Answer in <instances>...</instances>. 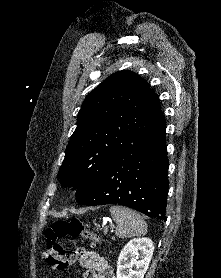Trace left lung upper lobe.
<instances>
[{
	"mask_svg": "<svg viewBox=\"0 0 221 278\" xmlns=\"http://www.w3.org/2000/svg\"><path fill=\"white\" fill-rule=\"evenodd\" d=\"M162 116L147 81L129 70L114 73L82 104L58 173L60 183L79 184L76 199L82 201L118 153Z\"/></svg>",
	"mask_w": 221,
	"mask_h": 278,
	"instance_id": "5c2ea615",
	"label": "left lung upper lobe"
}]
</instances>
